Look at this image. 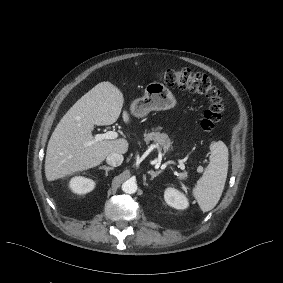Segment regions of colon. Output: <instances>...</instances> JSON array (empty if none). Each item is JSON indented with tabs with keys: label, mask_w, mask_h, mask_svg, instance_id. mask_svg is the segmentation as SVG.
<instances>
[{
	"label": "colon",
	"mask_w": 283,
	"mask_h": 283,
	"mask_svg": "<svg viewBox=\"0 0 283 283\" xmlns=\"http://www.w3.org/2000/svg\"><path fill=\"white\" fill-rule=\"evenodd\" d=\"M157 78L168 86L205 96L209 100V107L201 120V129L211 133L216 128L224 108L221 93L209 76L183 68L161 71L157 73Z\"/></svg>",
	"instance_id": "colon-1"
}]
</instances>
